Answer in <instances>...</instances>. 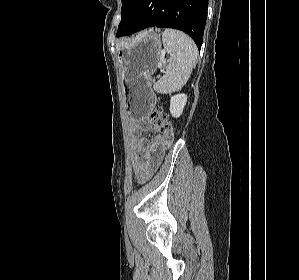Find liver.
I'll list each match as a JSON object with an SVG mask.
<instances>
[{"mask_svg":"<svg viewBox=\"0 0 299 280\" xmlns=\"http://www.w3.org/2000/svg\"><path fill=\"white\" fill-rule=\"evenodd\" d=\"M125 44L124 43H117L116 48L117 50L123 47Z\"/></svg>","mask_w":299,"mask_h":280,"instance_id":"liver-1","label":"liver"}]
</instances>
